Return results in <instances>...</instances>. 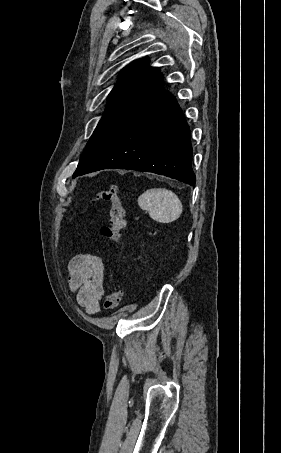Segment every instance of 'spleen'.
<instances>
[{"instance_id": "1", "label": "spleen", "mask_w": 281, "mask_h": 453, "mask_svg": "<svg viewBox=\"0 0 281 453\" xmlns=\"http://www.w3.org/2000/svg\"><path fill=\"white\" fill-rule=\"evenodd\" d=\"M142 210H147L153 220L172 222L179 218L183 204L177 194L167 188H149L138 198Z\"/></svg>"}]
</instances>
